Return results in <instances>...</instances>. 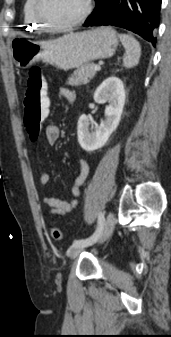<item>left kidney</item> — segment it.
Listing matches in <instances>:
<instances>
[{
	"instance_id": "5707ae66",
	"label": "left kidney",
	"mask_w": 171,
	"mask_h": 337,
	"mask_svg": "<svg viewBox=\"0 0 171 337\" xmlns=\"http://www.w3.org/2000/svg\"><path fill=\"white\" fill-rule=\"evenodd\" d=\"M94 100L100 104L108 102L105 109V119L99 127L90 128L92 120L85 114L78 120L77 134L80 146L88 152L103 147L110 135L119 125L125 104V89L123 82L115 76L107 78L94 93Z\"/></svg>"
}]
</instances>
